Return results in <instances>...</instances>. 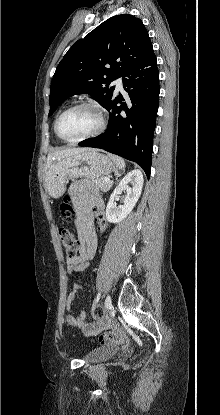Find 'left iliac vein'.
<instances>
[{
  "instance_id": "obj_1",
  "label": "left iliac vein",
  "mask_w": 220,
  "mask_h": 415,
  "mask_svg": "<svg viewBox=\"0 0 220 415\" xmlns=\"http://www.w3.org/2000/svg\"><path fill=\"white\" fill-rule=\"evenodd\" d=\"M111 307H112V298L110 295H107L104 301V308L106 311H108L109 309H111Z\"/></svg>"
}]
</instances>
